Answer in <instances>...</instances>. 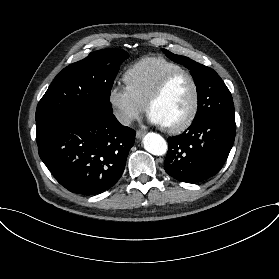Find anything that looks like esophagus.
<instances>
[{
    "label": "esophagus",
    "mask_w": 279,
    "mask_h": 279,
    "mask_svg": "<svg viewBox=\"0 0 279 279\" xmlns=\"http://www.w3.org/2000/svg\"><path fill=\"white\" fill-rule=\"evenodd\" d=\"M144 135H145L144 131L137 130V132H136V138L137 139H141Z\"/></svg>",
    "instance_id": "obj_1"
}]
</instances>
